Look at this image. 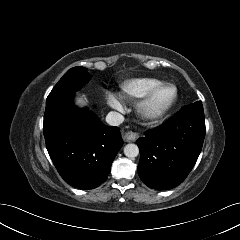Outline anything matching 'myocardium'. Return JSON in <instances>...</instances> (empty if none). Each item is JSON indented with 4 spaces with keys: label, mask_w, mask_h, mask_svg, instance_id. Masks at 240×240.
<instances>
[{
    "label": "myocardium",
    "mask_w": 240,
    "mask_h": 240,
    "mask_svg": "<svg viewBox=\"0 0 240 240\" xmlns=\"http://www.w3.org/2000/svg\"><path fill=\"white\" fill-rule=\"evenodd\" d=\"M165 88H172L174 90L173 97L171 100L162 108L154 109L152 107V102L155 96ZM178 88L172 83H161L152 89H150L138 102L137 111L138 114L145 120L156 121L163 118L170 110L175 106L178 100Z\"/></svg>",
    "instance_id": "myocardium-1"
}]
</instances>
